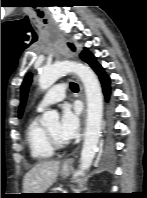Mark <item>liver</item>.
I'll use <instances>...</instances> for the list:
<instances>
[{
	"label": "liver",
	"instance_id": "1",
	"mask_svg": "<svg viewBox=\"0 0 147 198\" xmlns=\"http://www.w3.org/2000/svg\"><path fill=\"white\" fill-rule=\"evenodd\" d=\"M60 161H43L26 173L23 193H45L53 185L59 173Z\"/></svg>",
	"mask_w": 147,
	"mask_h": 198
}]
</instances>
